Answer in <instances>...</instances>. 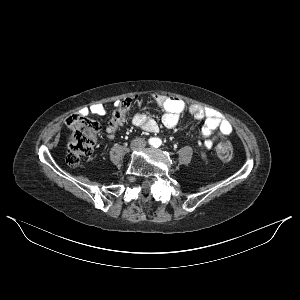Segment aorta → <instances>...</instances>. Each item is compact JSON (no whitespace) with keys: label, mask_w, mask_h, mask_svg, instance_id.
<instances>
[{"label":"aorta","mask_w":300,"mask_h":300,"mask_svg":"<svg viewBox=\"0 0 300 300\" xmlns=\"http://www.w3.org/2000/svg\"><path fill=\"white\" fill-rule=\"evenodd\" d=\"M162 144V141H161V139H159V138H156L155 139V142H154V144L153 145H155V146H160Z\"/></svg>","instance_id":"1"}]
</instances>
